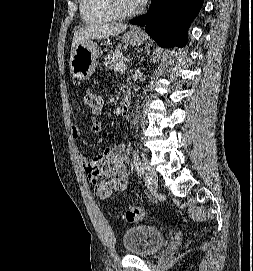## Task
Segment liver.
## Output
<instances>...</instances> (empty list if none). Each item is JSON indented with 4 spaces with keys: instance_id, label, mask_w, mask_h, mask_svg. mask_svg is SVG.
Segmentation results:
<instances>
[{
    "instance_id": "1",
    "label": "liver",
    "mask_w": 253,
    "mask_h": 271,
    "mask_svg": "<svg viewBox=\"0 0 253 271\" xmlns=\"http://www.w3.org/2000/svg\"><path fill=\"white\" fill-rule=\"evenodd\" d=\"M127 28L124 24H95L82 27L74 33L72 51L82 42L91 39H105L122 33Z\"/></svg>"
}]
</instances>
